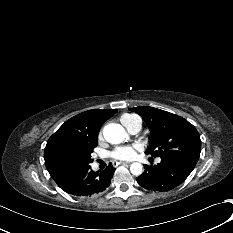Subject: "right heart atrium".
Masks as SVG:
<instances>
[{
    "label": "right heart atrium",
    "instance_id": "d8ad5b80",
    "mask_svg": "<svg viewBox=\"0 0 233 233\" xmlns=\"http://www.w3.org/2000/svg\"><path fill=\"white\" fill-rule=\"evenodd\" d=\"M99 138H102V133L99 134Z\"/></svg>",
    "mask_w": 233,
    "mask_h": 233
}]
</instances>
